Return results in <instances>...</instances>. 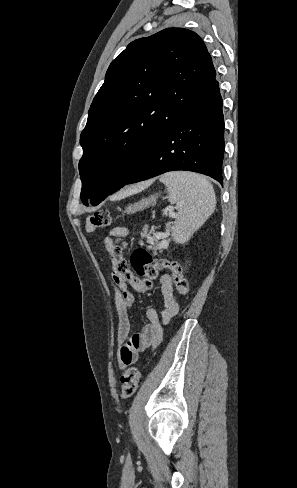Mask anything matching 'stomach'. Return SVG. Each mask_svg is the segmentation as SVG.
<instances>
[{"label":"stomach","instance_id":"0dacf381","mask_svg":"<svg viewBox=\"0 0 297 488\" xmlns=\"http://www.w3.org/2000/svg\"><path fill=\"white\" fill-rule=\"evenodd\" d=\"M157 198H158L157 194L151 195L148 198H143L140 201L136 202L135 204L127 206L125 208V212L128 214H133L138 211H141L150 205H154L157 201Z\"/></svg>","mask_w":297,"mask_h":488}]
</instances>
